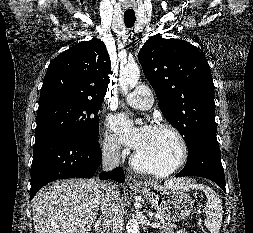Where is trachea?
Returning <instances> with one entry per match:
<instances>
[{
	"mask_svg": "<svg viewBox=\"0 0 253 233\" xmlns=\"http://www.w3.org/2000/svg\"><path fill=\"white\" fill-rule=\"evenodd\" d=\"M135 20V13L133 11L124 13V23L127 28L133 27Z\"/></svg>",
	"mask_w": 253,
	"mask_h": 233,
	"instance_id": "obj_1",
	"label": "trachea"
}]
</instances>
